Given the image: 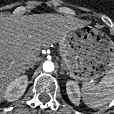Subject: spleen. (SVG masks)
<instances>
[{
	"label": "spleen",
	"mask_w": 114,
	"mask_h": 114,
	"mask_svg": "<svg viewBox=\"0 0 114 114\" xmlns=\"http://www.w3.org/2000/svg\"><path fill=\"white\" fill-rule=\"evenodd\" d=\"M82 100L90 108L98 109L114 99V68L98 84L84 83Z\"/></svg>",
	"instance_id": "3e777b00"
}]
</instances>
